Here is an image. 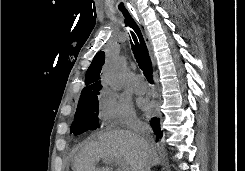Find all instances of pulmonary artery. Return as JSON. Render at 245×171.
Listing matches in <instances>:
<instances>
[{
  "instance_id": "pulmonary-artery-1",
  "label": "pulmonary artery",
  "mask_w": 245,
  "mask_h": 171,
  "mask_svg": "<svg viewBox=\"0 0 245 171\" xmlns=\"http://www.w3.org/2000/svg\"><path fill=\"white\" fill-rule=\"evenodd\" d=\"M134 91L137 94H144L147 91V85L141 77H137L134 82Z\"/></svg>"
}]
</instances>
